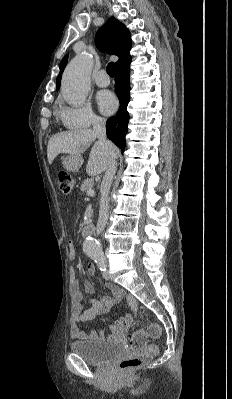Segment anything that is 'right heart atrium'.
Masks as SVG:
<instances>
[{"mask_svg": "<svg viewBox=\"0 0 232 399\" xmlns=\"http://www.w3.org/2000/svg\"><path fill=\"white\" fill-rule=\"evenodd\" d=\"M58 116L62 124L68 129L81 130L82 125H91V122H102L101 118L90 107L72 108L60 106L58 108Z\"/></svg>", "mask_w": 232, "mask_h": 399, "instance_id": "right-heart-atrium-1", "label": "right heart atrium"}]
</instances>
